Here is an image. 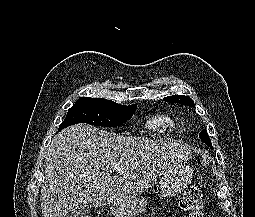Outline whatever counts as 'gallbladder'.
Wrapping results in <instances>:
<instances>
[{
    "label": "gallbladder",
    "instance_id": "bac80fb5",
    "mask_svg": "<svg viewBox=\"0 0 255 217\" xmlns=\"http://www.w3.org/2000/svg\"><path fill=\"white\" fill-rule=\"evenodd\" d=\"M91 210L89 206L77 205L71 211H69L68 217H90Z\"/></svg>",
    "mask_w": 255,
    "mask_h": 217
}]
</instances>
